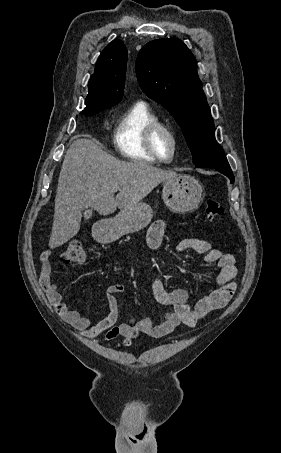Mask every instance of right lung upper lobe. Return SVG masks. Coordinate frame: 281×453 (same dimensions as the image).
Segmentation results:
<instances>
[{
    "mask_svg": "<svg viewBox=\"0 0 281 453\" xmlns=\"http://www.w3.org/2000/svg\"><path fill=\"white\" fill-rule=\"evenodd\" d=\"M127 49L121 40L112 41L98 58L88 84L83 113H98L118 104L124 92Z\"/></svg>",
    "mask_w": 281,
    "mask_h": 453,
    "instance_id": "obj_1",
    "label": "right lung upper lobe"
}]
</instances>
